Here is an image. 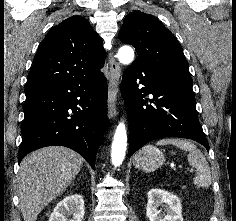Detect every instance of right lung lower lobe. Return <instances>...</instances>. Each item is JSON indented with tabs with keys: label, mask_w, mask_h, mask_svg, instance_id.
<instances>
[{
	"label": "right lung lower lobe",
	"mask_w": 236,
	"mask_h": 221,
	"mask_svg": "<svg viewBox=\"0 0 236 221\" xmlns=\"http://www.w3.org/2000/svg\"><path fill=\"white\" fill-rule=\"evenodd\" d=\"M25 93L18 161L36 149L59 145L75 150L95 169L107 125L104 74L69 78Z\"/></svg>",
	"instance_id": "right-lung-lower-lobe-1"
}]
</instances>
